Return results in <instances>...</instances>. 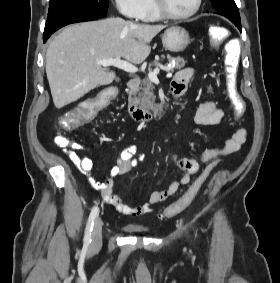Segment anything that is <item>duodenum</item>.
Here are the masks:
<instances>
[{
    "instance_id": "1",
    "label": "duodenum",
    "mask_w": 280,
    "mask_h": 283,
    "mask_svg": "<svg viewBox=\"0 0 280 283\" xmlns=\"http://www.w3.org/2000/svg\"><path fill=\"white\" fill-rule=\"evenodd\" d=\"M140 86V79L139 78H132L129 80L127 84V95H128V111L131 116L137 122H149L154 119V115L142 109L138 102H137V91ZM174 95V92H173Z\"/></svg>"
}]
</instances>
